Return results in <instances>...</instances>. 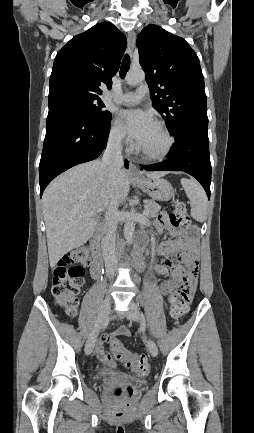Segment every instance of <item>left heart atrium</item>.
I'll return each mask as SVG.
<instances>
[{"instance_id": "obj_1", "label": "left heart atrium", "mask_w": 254, "mask_h": 433, "mask_svg": "<svg viewBox=\"0 0 254 433\" xmlns=\"http://www.w3.org/2000/svg\"><path fill=\"white\" fill-rule=\"evenodd\" d=\"M125 131L139 145L145 140L155 125L150 113L142 110H124L121 112Z\"/></svg>"}]
</instances>
